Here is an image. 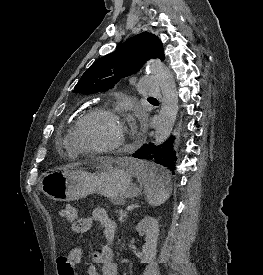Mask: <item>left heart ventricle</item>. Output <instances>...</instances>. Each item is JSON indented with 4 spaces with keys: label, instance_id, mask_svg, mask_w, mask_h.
I'll return each mask as SVG.
<instances>
[{
    "label": "left heart ventricle",
    "instance_id": "b2bd125f",
    "mask_svg": "<svg viewBox=\"0 0 263 275\" xmlns=\"http://www.w3.org/2000/svg\"><path fill=\"white\" fill-rule=\"evenodd\" d=\"M122 133L115 120L106 115H96L81 125L77 137L85 147L104 148L116 143Z\"/></svg>",
    "mask_w": 263,
    "mask_h": 275
}]
</instances>
